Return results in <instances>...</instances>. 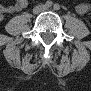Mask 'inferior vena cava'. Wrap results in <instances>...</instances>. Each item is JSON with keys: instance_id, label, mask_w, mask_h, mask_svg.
<instances>
[{"instance_id": "602c4592", "label": "inferior vena cava", "mask_w": 91, "mask_h": 91, "mask_svg": "<svg viewBox=\"0 0 91 91\" xmlns=\"http://www.w3.org/2000/svg\"><path fill=\"white\" fill-rule=\"evenodd\" d=\"M41 10H45V8H40L39 11H41Z\"/></svg>"}]
</instances>
